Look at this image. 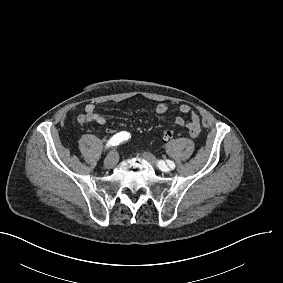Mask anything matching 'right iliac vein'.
<instances>
[{"label": "right iliac vein", "mask_w": 283, "mask_h": 283, "mask_svg": "<svg viewBox=\"0 0 283 283\" xmlns=\"http://www.w3.org/2000/svg\"><path fill=\"white\" fill-rule=\"evenodd\" d=\"M118 162V153L116 151H111L104 160V166L107 169L113 168Z\"/></svg>", "instance_id": "right-iliac-vein-1"}]
</instances>
